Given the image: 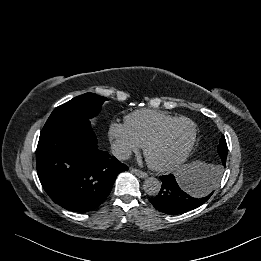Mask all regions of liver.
<instances>
[{
    "instance_id": "liver-1",
    "label": "liver",
    "mask_w": 261,
    "mask_h": 261,
    "mask_svg": "<svg viewBox=\"0 0 261 261\" xmlns=\"http://www.w3.org/2000/svg\"><path fill=\"white\" fill-rule=\"evenodd\" d=\"M92 122H93V124H94L95 120H92Z\"/></svg>"
}]
</instances>
